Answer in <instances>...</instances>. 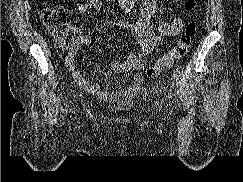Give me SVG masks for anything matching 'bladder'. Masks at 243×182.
<instances>
[{
    "mask_svg": "<svg viewBox=\"0 0 243 182\" xmlns=\"http://www.w3.org/2000/svg\"><path fill=\"white\" fill-rule=\"evenodd\" d=\"M134 108V101L132 99H125L118 101L108 106V109L112 112L125 113Z\"/></svg>",
    "mask_w": 243,
    "mask_h": 182,
    "instance_id": "1",
    "label": "bladder"
}]
</instances>
